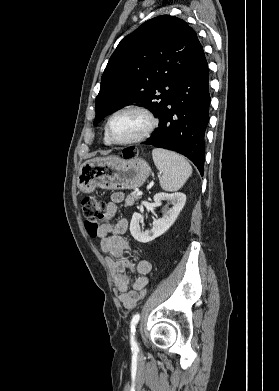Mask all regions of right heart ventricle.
I'll list each match as a JSON object with an SVG mask.
<instances>
[{
	"label": "right heart ventricle",
	"mask_w": 279,
	"mask_h": 391,
	"mask_svg": "<svg viewBox=\"0 0 279 391\" xmlns=\"http://www.w3.org/2000/svg\"><path fill=\"white\" fill-rule=\"evenodd\" d=\"M104 142L106 145H110V143L108 142V140L106 139V137L104 136Z\"/></svg>",
	"instance_id": "right-heart-ventricle-1"
}]
</instances>
